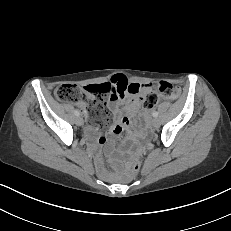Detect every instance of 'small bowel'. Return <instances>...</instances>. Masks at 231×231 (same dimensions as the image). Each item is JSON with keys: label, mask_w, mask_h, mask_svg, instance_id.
Returning <instances> with one entry per match:
<instances>
[{"label": "small bowel", "mask_w": 231, "mask_h": 231, "mask_svg": "<svg viewBox=\"0 0 231 231\" xmlns=\"http://www.w3.org/2000/svg\"><path fill=\"white\" fill-rule=\"evenodd\" d=\"M102 84H107L112 88L108 98L110 109L116 115V120L108 131V136L117 138L124 130L130 128L132 124L131 117L136 115L139 110H142L143 115L147 113V109L141 102V99L148 91V86L146 84L129 82L123 74H116L109 82ZM167 99L165 96L161 97L162 101ZM77 105L85 112V102L83 100L77 103ZM123 112H127L129 116L124 115ZM87 132L96 138L98 145H104L107 142V137L100 135L94 125H88Z\"/></svg>", "instance_id": "small-bowel-1"}]
</instances>
